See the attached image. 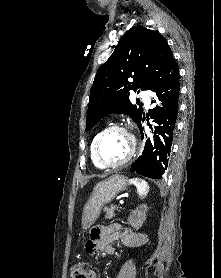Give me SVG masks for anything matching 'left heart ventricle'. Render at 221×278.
Wrapping results in <instances>:
<instances>
[{"mask_svg": "<svg viewBox=\"0 0 221 278\" xmlns=\"http://www.w3.org/2000/svg\"><path fill=\"white\" fill-rule=\"evenodd\" d=\"M130 140L120 131L106 134L100 142L99 155L103 162L115 164L122 161L129 153Z\"/></svg>", "mask_w": 221, "mask_h": 278, "instance_id": "1", "label": "left heart ventricle"}]
</instances>
